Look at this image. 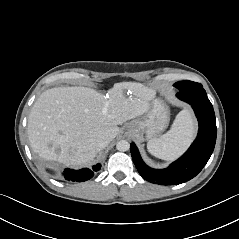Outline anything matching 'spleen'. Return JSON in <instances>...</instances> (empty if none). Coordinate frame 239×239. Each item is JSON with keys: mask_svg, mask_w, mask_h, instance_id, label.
<instances>
[{"mask_svg": "<svg viewBox=\"0 0 239 239\" xmlns=\"http://www.w3.org/2000/svg\"><path fill=\"white\" fill-rule=\"evenodd\" d=\"M195 134V123L189 109L176 116L171 129L164 135L153 138L147 143V149L153 156L171 161L179 157L189 146Z\"/></svg>", "mask_w": 239, "mask_h": 239, "instance_id": "spleen-1", "label": "spleen"}]
</instances>
